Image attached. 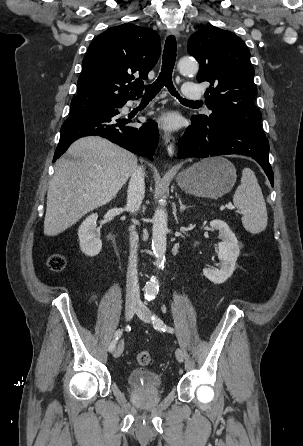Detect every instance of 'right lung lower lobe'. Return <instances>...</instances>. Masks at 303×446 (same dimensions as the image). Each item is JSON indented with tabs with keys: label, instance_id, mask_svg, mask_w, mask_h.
<instances>
[{
	"label": "right lung lower lobe",
	"instance_id": "right-lung-lower-lobe-1",
	"mask_svg": "<svg viewBox=\"0 0 303 446\" xmlns=\"http://www.w3.org/2000/svg\"><path fill=\"white\" fill-rule=\"evenodd\" d=\"M121 107L123 105L115 109H96L70 115L61 127L60 141L53 162L76 139L90 135H99L133 153L152 158L159 136L156 123L147 122L140 128L131 127L128 125L131 117L119 116L118 109Z\"/></svg>",
	"mask_w": 303,
	"mask_h": 446
}]
</instances>
